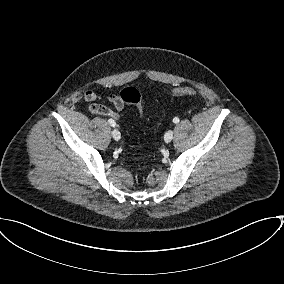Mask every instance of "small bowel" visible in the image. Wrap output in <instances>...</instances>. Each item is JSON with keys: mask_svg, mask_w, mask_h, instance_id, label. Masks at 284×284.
Segmentation results:
<instances>
[{"mask_svg": "<svg viewBox=\"0 0 284 284\" xmlns=\"http://www.w3.org/2000/svg\"><path fill=\"white\" fill-rule=\"evenodd\" d=\"M84 100L88 103V110L92 114H98L103 116H109L111 119L118 120L120 117V112L123 111L125 103L120 98V95L110 94L107 96H101L100 94L88 90L84 92ZM106 100L107 102L114 105L116 111L112 110L101 101Z\"/></svg>", "mask_w": 284, "mask_h": 284, "instance_id": "obj_1", "label": "small bowel"}]
</instances>
